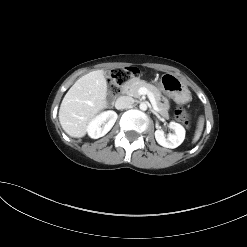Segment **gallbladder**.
Returning a JSON list of instances; mask_svg holds the SVG:
<instances>
[{
    "label": "gallbladder",
    "mask_w": 247,
    "mask_h": 247,
    "mask_svg": "<svg viewBox=\"0 0 247 247\" xmlns=\"http://www.w3.org/2000/svg\"><path fill=\"white\" fill-rule=\"evenodd\" d=\"M105 76H106V77H110V72H106V73H105Z\"/></svg>",
    "instance_id": "obj_1"
}]
</instances>
